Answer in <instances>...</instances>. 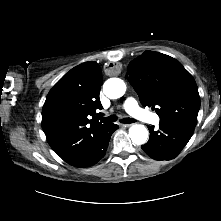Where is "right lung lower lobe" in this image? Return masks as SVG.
<instances>
[{
  "instance_id": "98d812e1",
  "label": "right lung lower lobe",
  "mask_w": 221,
  "mask_h": 221,
  "mask_svg": "<svg viewBox=\"0 0 221 221\" xmlns=\"http://www.w3.org/2000/svg\"><path fill=\"white\" fill-rule=\"evenodd\" d=\"M116 129H118V125L109 123L96 133L83 149L67 159L66 162L76 167L94 165L104 157L111 135Z\"/></svg>"
}]
</instances>
